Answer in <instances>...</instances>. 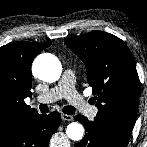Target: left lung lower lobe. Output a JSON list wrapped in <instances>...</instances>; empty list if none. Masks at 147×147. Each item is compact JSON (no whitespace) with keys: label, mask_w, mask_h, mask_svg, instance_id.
Masks as SVG:
<instances>
[{"label":"left lung lower lobe","mask_w":147,"mask_h":147,"mask_svg":"<svg viewBox=\"0 0 147 147\" xmlns=\"http://www.w3.org/2000/svg\"><path fill=\"white\" fill-rule=\"evenodd\" d=\"M85 127V136L74 147H127L129 138L117 131L109 124L94 118L88 121L86 117H75Z\"/></svg>","instance_id":"0a47b994"}]
</instances>
